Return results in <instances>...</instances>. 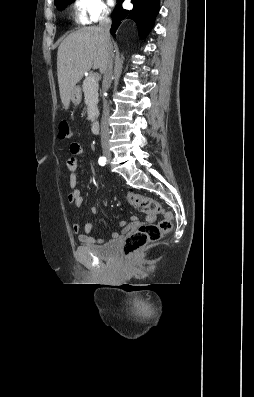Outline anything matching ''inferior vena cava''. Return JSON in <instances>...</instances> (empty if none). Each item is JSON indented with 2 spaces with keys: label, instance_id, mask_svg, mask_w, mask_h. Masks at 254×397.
Here are the masks:
<instances>
[{
  "label": "inferior vena cava",
  "instance_id": "1",
  "mask_svg": "<svg viewBox=\"0 0 254 397\" xmlns=\"http://www.w3.org/2000/svg\"><path fill=\"white\" fill-rule=\"evenodd\" d=\"M110 27H111V19L108 17L107 14H104L102 17V20L99 23V29L101 33V37L107 47V62H106V67L104 69V78H103V90L107 91L111 85L112 78H113V48H112V43H111V38H110ZM108 117H109V106L107 105V102L104 101V107H103V115H102V120H101V145L103 150L108 149V144H109V123H108Z\"/></svg>",
  "mask_w": 254,
  "mask_h": 397
}]
</instances>
